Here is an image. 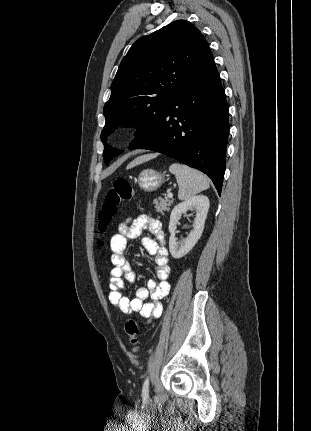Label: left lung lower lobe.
Listing matches in <instances>:
<instances>
[{
  "instance_id": "1",
  "label": "left lung lower lobe",
  "mask_w": 311,
  "mask_h": 431,
  "mask_svg": "<svg viewBox=\"0 0 311 431\" xmlns=\"http://www.w3.org/2000/svg\"><path fill=\"white\" fill-rule=\"evenodd\" d=\"M228 134L226 96L209 50L179 89L155 132L136 149L163 153L204 172L220 195Z\"/></svg>"
}]
</instances>
